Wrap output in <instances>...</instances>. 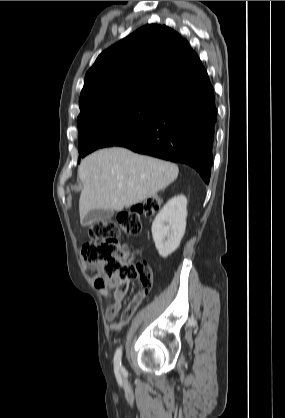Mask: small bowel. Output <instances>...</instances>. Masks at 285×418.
Segmentation results:
<instances>
[{
    "label": "small bowel",
    "mask_w": 285,
    "mask_h": 418,
    "mask_svg": "<svg viewBox=\"0 0 285 418\" xmlns=\"http://www.w3.org/2000/svg\"><path fill=\"white\" fill-rule=\"evenodd\" d=\"M139 266V280L141 285H146L148 288L152 286L153 276L150 265L145 261H140ZM100 265H86L85 268L91 270L96 275L100 271ZM91 283H94V277L89 278ZM129 286V279H120L112 283L107 289L103 290V294L111 300L109 309L105 312L107 321H113L117 315L122 311L123 299ZM140 303H135L134 299L129 303L128 307L122 313L121 320L118 323L111 324V331L121 330L128 321L132 318L134 312L137 310Z\"/></svg>",
    "instance_id": "small-bowel-1"
}]
</instances>
